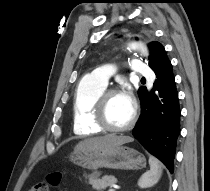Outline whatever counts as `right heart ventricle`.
Listing matches in <instances>:
<instances>
[{
  "label": "right heart ventricle",
  "mask_w": 210,
  "mask_h": 191,
  "mask_svg": "<svg viewBox=\"0 0 210 191\" xmlns=\"http://www.w3.org/2000/svg\"><path fill=\"white\" fill-rule=\"evenodd\" d=\"M106 86L89 78H83L74 94L73 132L81 137L99 134V129L92 121V110L96 98Z\"/></svg>",
  "instance_id": "obj_1"
}]
</instances>
